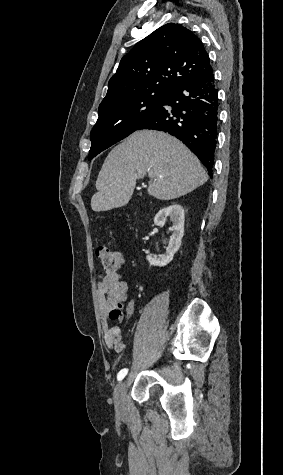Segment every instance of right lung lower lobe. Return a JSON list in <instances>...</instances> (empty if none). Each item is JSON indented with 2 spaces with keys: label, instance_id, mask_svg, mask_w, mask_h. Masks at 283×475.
Returning a JSON list of instances; mask_svg holds the SVG:
<instances>
[{
  "label": "right lung lower lobe",
  "instance_id": "98d812e1",
  "mask_svg": "<svg viewBox=\"0 0 283 475\" xmlns=\"http://www.w3.org/2000/svg\"><path fill=\"white\" fill-rule=\"evenodd\" d=\"M218 115V90L211 71L175 85L167 92L161 106L137 130L164 131L180 139L200 159L212 178Z\"/></svg>",
  "mask_w": 283,
  "mask_h": 475
}]
</instances>
